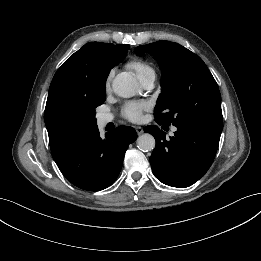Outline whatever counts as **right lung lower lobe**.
I'll use <instances>...</instances> for the list:
<instances>
[{
    "label": "right lung lower lobe",
    "instance_id": "1",
    "mask_svg": "<svg viewBox=\"0 0 261 261\" xmlns=\"http://www.w3.org/2000/svg\"><path fill=\"white\" fill-rule=\"evenodd\" d=\"M136 138L137 133L132 127L119 126L102 139L96 127L55 162L73 185L88 191H100L117 179L125 151Z\"/></svg>",
    "mask_w": 261,
    "mask_h": 261
}]
</instances>
